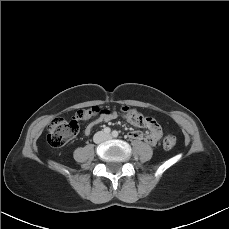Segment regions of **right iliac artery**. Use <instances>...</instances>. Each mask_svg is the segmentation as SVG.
<instances>
[{"label":"right iliac artery","instance_id":"right-iliac-artery-1","mask_svg":"<svg viewBox=\"0 0 229 229\" xmlns=\"http://www.w3.org/2000/svg\"><path fill=\"white\" fill-rule=\"evenodd\" d=\"M104 132H105L106 134H110L111 129H110L109 127H106V128L104 129Z\"/></svg>","mask_w":229,"mask_h":229}]
</instances>
